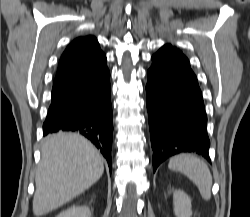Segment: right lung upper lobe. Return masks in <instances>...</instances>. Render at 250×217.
<instances>
[{"mask_svg": "<svg viewBox=\"0 0 250 217\" xmlns=\"http://www.w3.org/2000/svg\"><path fill=\"white\" fill-rule=\"evenodd\" d=\"M103 55L95 37L76 38L61 56L54 83L81 73Z\"/></svg>", "mask_w": 250, "mask_h": 217, "instance_id": "obj_1", "label": "right lung upper lobe"}]
</instances>
